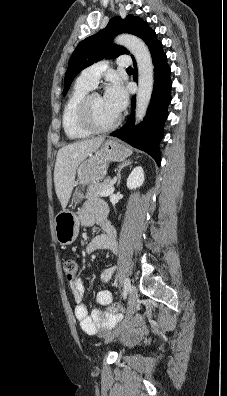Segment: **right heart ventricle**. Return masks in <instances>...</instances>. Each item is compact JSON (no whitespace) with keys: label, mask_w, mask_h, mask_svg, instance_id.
<instances>
[{"label":"right heart ventricle","mask_w":227,"mask_h":396,"mask_svg":"<svg viewBox=\"0 0 227 396\" xmlns=\"http://www.w3.org/2000/svg\"><path fill=\"white\" fill-rule=\"evenodd\" d=\"M91 89L92 87L78 79L64 104L62 125L66 136L71 140L87 138L92 134L79 119V105Z\"/></svg>","instance_id":"obj_1"}]
</instances>
